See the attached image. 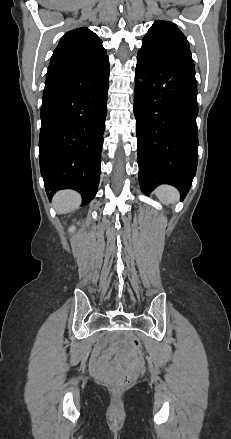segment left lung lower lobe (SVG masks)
Instances as JSON below:
<instances>
[{
	"mask_svg": "<svg viewBox=\"0 0 231 439\" xmlns=\"http://www.w3.org/2000/svg\"><path fill=\"white\" fill-rule=\"evenodd\" d=\"M144 79L143 89L138 81ZM134 114L139 182L149 194L160 184L188 193L198 161L197 81L192 66L137 54Z\"/></svg>",
	"mask_w": 231,
	"mask_h": 439,
	"instance_id": "0a47b994",
	"label": "left lung lower lobe"
}]
</instances>
